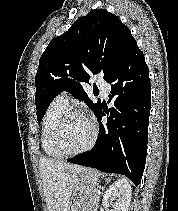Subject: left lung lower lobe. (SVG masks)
Segmentation results:
<instances>
[{
	"label": "left lung lower lobe",
	"mask_w": 178,
	"mask_h": 211,
	"mask_svg": "<svg viewBox=\"0 0 178 211\" xmlns=\"http://www.w3.org/2000/svg\"><path fill=\"white\" fill-rule=\"evenodd\" d=\"M111 84L109 101L96 116L100 124L97 145L68 162L123 174L139 185L146 163L151 84L144 55L136 45L106 80ZM107 123L102 125V116Z\"/></svg>",
	"instance_id": "0a47b994"
}]
</instances>
